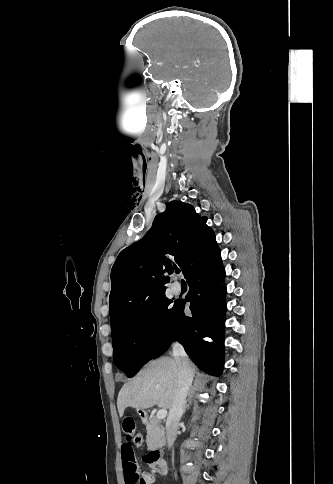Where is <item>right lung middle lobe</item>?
I'll return each instance as SVG.
<instances>
[{
	"mask_svg": "<svg viewBox=\"0 0 333 484\" xmlns=\"http://www.w3.org/2000/svg\"><path fill=\"white\" fill-rule=\"evenodd\" d=\"M171 303L161 296L132 312L112 332L114 362L128 377L153 359L179 309Z\"/></svg>",
	"mask_w": 333,
	"mask_h": 484,
	"instance_id": "dd1d6c3e",
	"label": "right lung middle lobe"
}]
</instances>
